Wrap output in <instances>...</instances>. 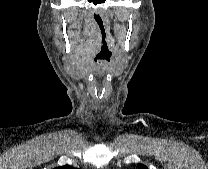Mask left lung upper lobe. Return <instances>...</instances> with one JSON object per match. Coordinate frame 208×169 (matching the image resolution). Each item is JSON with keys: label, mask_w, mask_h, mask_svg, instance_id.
I'll return each mask as SVG.
<instances>
[{"label": "left lung upper lobe", "mask_w": 208, "mask_h": 169, "mask_svg": "<svg viewBox=\"0 0 208 169\" xmlns=\"http://www.w3.org/2000/svg\"><path fill=\"white\" fill-rule=\"evenodd\" d=\"M139 169H148L145 165L143 164H138Z\"/></svg>", "instance_id": "1"}]
</instances>
